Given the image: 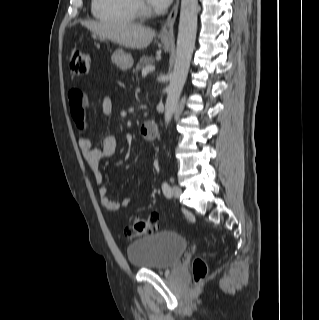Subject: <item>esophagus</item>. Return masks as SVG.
Masks as SVG:
<instances>
[{
    "instance_id": "obj_1",
    "label": "esophagus",
    "mask_w": 319,
    "mask_h": 320,
    "mask_svg": "<svg viewBox=\"0 0 319 320\" xmlns=\"http://www.w3.org/2000/svg\"><path fill=\"white\" fill-rule=\"evenodd\" d=\"M178 7H179V0H176L172 10L170 11L159 33V36L166 41H170V42L174 41L173 28H174V23L178 13Z\"/></svg>"
}]
</instances>
